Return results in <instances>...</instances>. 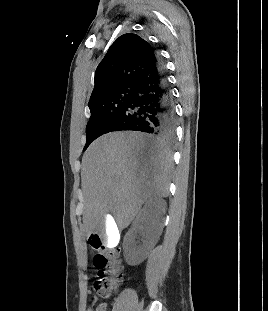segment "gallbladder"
<instances>
[{
    "label": "gallbladder",
    "mask_w": 268,
    "mask_h": 311,
    "mask_svg": "<svg viewBox=\"0 0 268 311\" xmlns=\"http://www.w3.org/2000/svg\"><path fill=\"white\" fill-rule=\"evenodd\" d=\"M107 214H110V211H107ZM99 224L102 246H105L107 249H112L114 246H117L121 235L119 232V227H116L112 216H103V218L100 219Z\"/></svg>",
    "instance_id": "bac80fb5"
}]
</instances>
